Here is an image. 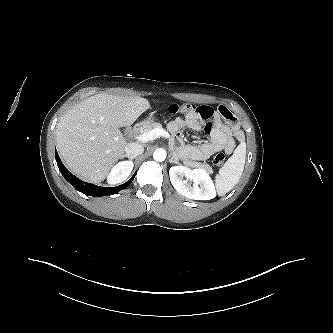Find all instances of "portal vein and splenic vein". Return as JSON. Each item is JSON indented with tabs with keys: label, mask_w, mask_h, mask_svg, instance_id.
Instances as JSON below:
<instances>
[{
	"label": "portal vein and splenic vein",
	"mask_w": 333,
	"mask_h": 333,
	"mask_svg": "<svg viewBox=\"0 0 333 333\" xmlns=\"http://www.w3.org/2000/svg\"><path fill=\"white\" fill-rule=\"evenodd\" d=\"M160 136L170 137V135L167 131L163 130L162 128H155L147 133H143L142 135L137 136L136 138L139 141L146 143V142L154 140Z\"/></svg>",
	"instance_id": "portal-vein-and-splenic-vein-1"
}]
</instances>
